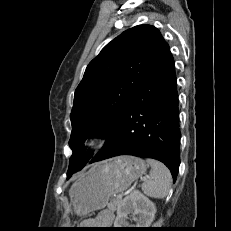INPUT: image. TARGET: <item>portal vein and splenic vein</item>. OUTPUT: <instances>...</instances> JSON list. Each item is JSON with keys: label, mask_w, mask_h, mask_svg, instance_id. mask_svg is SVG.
<instances>
[{"label": "portal vein and splenic vein", "mask_w": 231, "mask_h": 231, "mask_svg": "<svg viewBox=\"0 0 231 231\" xmlns=\"http://www.w3.org/2000/svg\"><path fill=\"white\" fill-rule=\"evenodd\" d=\"M134 189V187H130L128 190H126L124 193L122 194H118L117 198H122L124 195L129 194L132 190Z\"/></svg>", "instance_id": "18ae733b"}]
</instances>
